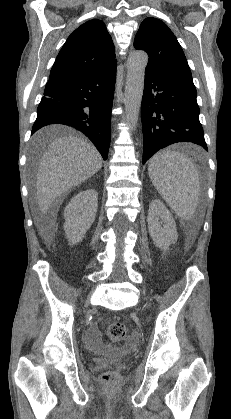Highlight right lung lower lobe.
I'll use <instances>...</instances> for the list:
<instances>
[{
    "mask_svg": "<svg viewBox=\"0 0 231 419\" xmlns=\"http://www.w3.org/2000/svg\"><path fill=\"white\" fill-rule=\"evenodd\" d=\"M115 79L116 65L89 75L50 78L31 135L46 125H70L83 132L106 160Z\"/></svg>",
    "mask_w": 231,
    "mask_h": 419,
    "instance_id": "obj_1",
    "label": "right lung lower lobe"
}]
</instances>
